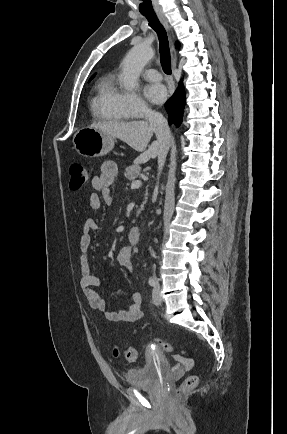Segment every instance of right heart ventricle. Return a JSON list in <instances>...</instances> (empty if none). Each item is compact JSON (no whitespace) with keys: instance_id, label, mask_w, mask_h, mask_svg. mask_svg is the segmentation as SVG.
<instances>
[{"instance_id":"1","label":"right heart ventricle","mask_w":287,"mask_h":434,"mask_svg":"<svg viewBox=\"0 0 287 434\" xmlns=\"http://www.w3.org/2000/svg\"><path fill=\"white\" fill-rule=\"evenodd\" d=\"M119 93L114 75L102 76L94 87L91 100L93 114L104 121L123 122L128 120L129 116L122 111L118 104Z\"/></svg>"}]
</instances>
